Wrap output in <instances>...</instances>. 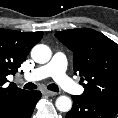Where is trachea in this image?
I'll return each instance as SVG.
<instances>
[{"instance_id": "1", "label": "trachea", "mask_w": 118, "mask_h": 118, "mask_svg": "<svg viewBox=\"0 0 118 118\" xmlns=\"http://www.w3.org/2000/svg\"><path fill=\"white\" fill-rule=\"evenodd\" d=\"M24 89H28V90H33V89H37V85L34 84V83H26L24 86H23ZM47 89L50 90V91H54V92H59V88L56 84H49L47 86Z\"/></svg>"}]
</instances>
